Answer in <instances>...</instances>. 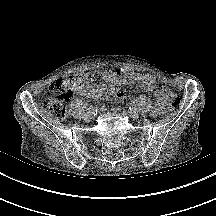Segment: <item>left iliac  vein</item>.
Masks as SVG:
<instances>
[{
  "label": "left iliac vein",
  "instance_id": "obj_1",
  "mask_svg": "<svg viewBox=\"0 0 216 216\" xmlns=\"http://www.w3.org/2000/svg\"><path fill=\"white\" fill-rule=\"evenodd\" d=\"M128 115L134 120L139 118V114L136 111H128Z\"/></svg>",
  "mask_w": 216,
  "mask_h": 216
}]
</instances>
